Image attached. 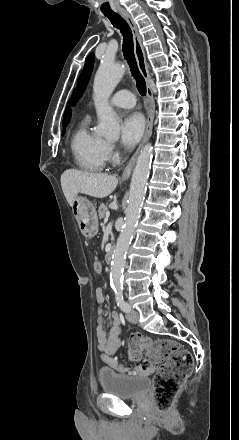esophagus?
<instances>
[{
    "instance_id": "34e87169",
    "label": "esophagus",
    "mask_w": 239,
    "mask_h": 440,
    "mask_svg": "<svg viewBox=\"0 0 239 440\" xmlns=\"http://www.w3.org/2000/svg\"><path fill=\"white\" fill-rule=\"evenodd\" d=\"M119 13H120V15H122L124 20H126V22L128 23V25L131 28V31L133 34L134 53H135V57H136V60L138 63V68H139V71L141 72L142 76L144 77V79L147 80V82H148V80L150 79V76H149V72H148V68H147L144 48H143L141 38H140L138 29H137V25L133 21L132 17L130 16V14L128 12L119 11ZM147 96L150 100L151 108H150V111H149L148 117H147L146 132H145V135L143 137L142 142L140 143V145L137 148V150L135 151L133 157L129 160L128 164L126 165V168L124 169V172L122 174L123 181L127 180L130 177V175L132 173L133 166L135 164L136 158L138 156V153H139L141 147L149 140V138L152 134V126H153V120H154L155 107H154V100H153V92H152L151 86L149 84H147Z\"/></svg>"
}]
</instances>
